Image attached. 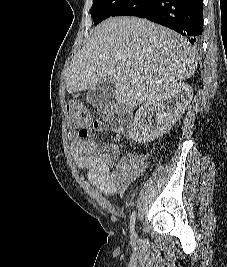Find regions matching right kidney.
Instances as JSON below:
<instances>
[{"instance_id":"obj_1","label":"right kidney","mask_w":227,"mask_h":267,"mask_svg":"<svg viewBox=\"0 0 227 267\" xmlns=\"http://www.w3.org/2000/svg\"><path fill=\"white\" fill-rule=\"evenodd\" d=\"M192 97V87L179 82L147 100L135 114L131 128L133 141L146 143L164 135L182 117ZM165 101H169L167 107L163 105ZM154 111L156 116L152 119Z\"/></svg>"}]
</instances>
